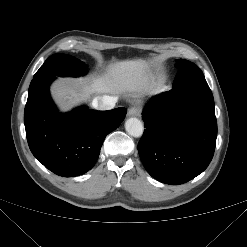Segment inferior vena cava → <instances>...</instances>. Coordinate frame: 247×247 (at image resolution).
<instances>
[{"label": "inferior vena cava", "instance_id": "inferior-vena-cava-1", "mask_svg": "<svg viewBox=\"0 0 247 247\" xmlns=\"http://www.w3.org/2000/svg\"><path fill=\"white\" fill-rule=\"evenodd\" d=\"M117 97L115 96H98L93 99L92 106L97 110H110L115 107Z\"/></svg>", "mask_w": 247, "mask_h": 247}]
</instances>
